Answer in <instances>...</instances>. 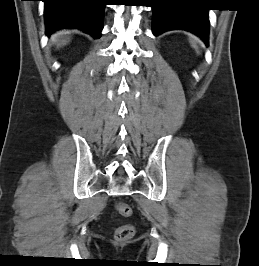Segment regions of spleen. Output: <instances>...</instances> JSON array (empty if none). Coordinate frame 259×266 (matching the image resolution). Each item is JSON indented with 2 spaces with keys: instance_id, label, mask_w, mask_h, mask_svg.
<instances>
[{
  "instance_id": "spleen-1",
  "label": "spleen",
  "mask_w": 259,
  "mask_h": 266,
  "mask_svg": "<svg viewBox=\"0 0 259 266\" xmlns=\"http://www.w3.org/2000/svg\"><path fill=\"white\" fill-rule=\"evenodd\" d=\"M190 42L192 43V46L196 49V51L199 53V48H198V39L196 37H190Z\"/></svg>"
}]
</instances>
